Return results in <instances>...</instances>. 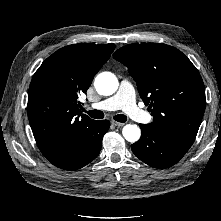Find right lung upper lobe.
I'll return each mask as SVG.
<instances>
[{"mask_svg":"<svg viewBox=\"0 0 221 221\" xmlns=\"http://www.w3.org/2000/svg\"><path fill=\"white\" fill-rule=\"evenodd\" d=\"M114 44L79 43L63 47L35 72L28 94V117L45 157L69 152L95 121L79 109L94 75L109 59Z\"/></svg>","mask_w":221,"mask_h":221,"instance_id":"right-lung-upper-lobe-1","label":"right lung upper lobe"}]
</instances>
